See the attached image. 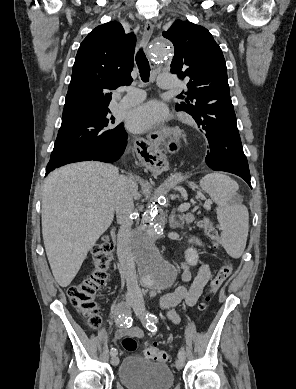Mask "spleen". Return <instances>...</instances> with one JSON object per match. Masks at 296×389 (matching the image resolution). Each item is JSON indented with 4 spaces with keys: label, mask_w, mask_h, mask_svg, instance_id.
Instances as JSON below:
<instances>
[{
    "label": "spleen",
    "mask_w": 296,
    "mask_h": 389,
    "mask_svg": "<svg viewBox=\"0 0 296 389\" xmlns=\"http://www.w3.org/2000/svg\"><path fill=\"white\" fill-rule=\"evenodd\" d=\"M200 187L217 204L222 246L232 258L241 257L246 247L249 214L237 196L238 184L224 174L210 173L200 180Z\"/></svg>",
    "instance_id": "spleen-1"
}]
</instances>
